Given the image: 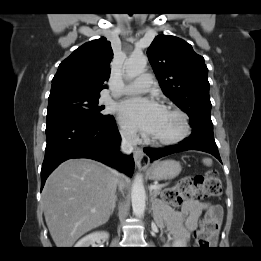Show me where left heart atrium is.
<instances>
[{
  "mask_svg": "<svg viewBox=\"0 0 261 261\" xmlns=\"http://www.w3.org/2000/svg\"><path fill=\"white\" fill-rule=\"evenodd\" d=\"M118 111L125 127L146 135L156 132L164 113L162 106L146 98L127 99L119 105Z\"/></svg>",
  "mask_w": 261,
  "mask_h": 261,
  "instance_id": "obj_1",
  "label": "left heart atrium"
}]
</instances>
